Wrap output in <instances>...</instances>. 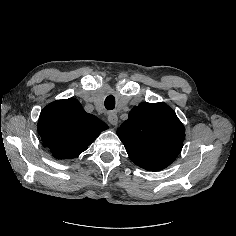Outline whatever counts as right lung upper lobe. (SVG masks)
Listing matches in <instances>:
<instances>
[{
    "instance_id": "1",
    "label": "right lung upper lobe",
    "mask_w": 236,
    "mask_h": 236,
    "mask_svg": "<svg viewBox=\"0 0 236 236\" xmlns=\"http://www.w3.org/2000/svg\"><path fill=\"white\" fill-rule=\"evenodd\" d=\"M108 126L87 113L74 98L47 105L38 121V133L45 147L58 159L77 157Z\"/></svg>"
}]
</instances>
